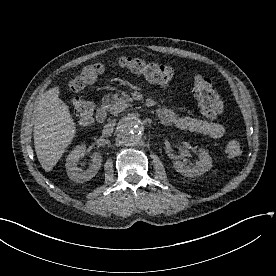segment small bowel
Returning <instances> with one entry per match:
<instances>
[{"instance_id": "1", "label": "small bowel", "mask_w": 276, "mask_h": 276, "mask_svg": "<svg viewBox=\"0 0 276 276\" xmlns=\"http://www.w3.org/2000/svg\"><path fill=\"white\" fill-rule=\"evenodd\" d=\"M161 111L162 117H160V119L165 125L173 126L181 130L196 132L213 139H219L225 134V127L219 122L182 116L169 108H164Z\"/></svg>"}]
</instances>
